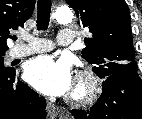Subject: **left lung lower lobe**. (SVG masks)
Instances as JSON below:
<instances>
[{"label": "left lung lower lobe", "mask_w": 142, "mask_h": 119, "mask_svg": "<svg viewBox=\"0 0 142 119\" xmlns=\"http://www.w3.org/2000/svg\"><path fill=\"white\" fill-rule=\"evenodd\" d=\"M102 89L90 111L72 110L76 119H142V82L137 70L106 77Z\"/></svg>", "instance_id": "0a47b994"}]
</instances>
